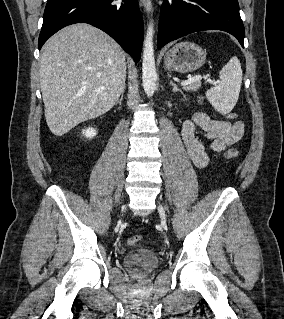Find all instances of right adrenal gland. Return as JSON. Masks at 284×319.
<instances>
[{
    "mask_svg": "<svg viewBox=\"0 0 284 319\" xmlns=\"http://www.w3.org/2000/svg\"><path fill=\"white\" fill-rule=\"evenodd\" d=\"M124 91H125V86L123 87V90H122V92H121V96H120V98H119L118 101H117V103H118L119 105H121V103H122L123 96H124Z\"/></svg>",
    "mask_w": 284,
    "mask_h": 319,
    "instance_id": "obj_1",
    "label": "right adrenal gland"
}]
</instances>
